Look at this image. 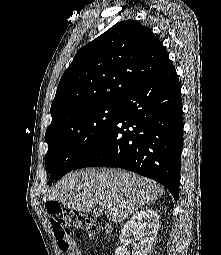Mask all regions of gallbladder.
<instances>
[{
	"mask_svg": "<svg viewBox=\"0 0 221 255\" xmlns=\"http://www.w3.org/2000/svg\"><path fill=\"white\" fill-rule=\"evenodd\" d=\"M94 214L100 215V214H102V211H100V210H98V209H95V210H94Z\"/></svg>",
	"mask_w": 221,
	"mask_h": 255,
	"instance_id": "obj_1",
	"label": "gallbladder"
}]
</instances>
